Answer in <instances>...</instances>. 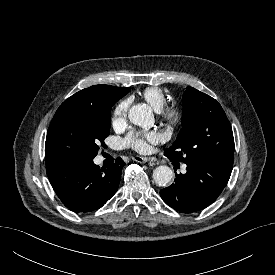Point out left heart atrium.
Masks as SVG:
<instances>
[{
    "instance_id": "39dd6f15",
    "label": "left heart atrium",
    "mask_w": 275,
    "mask_h": 275,
    "mask_svg": "<svg viewBox=\"0 0 275 275\" xmlns=\"http://www.w3.org/2000/svg\"><path fill=\"white\" fill-rule=\"evenodd\" d=\"M159 135L154 131L132 132L127 135L124 142L136 151L142 152L147 149V143H156Z\"/></svg>"
}]
</instances>
